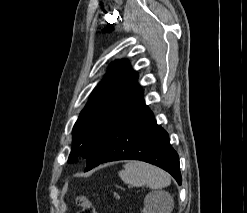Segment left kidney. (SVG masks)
<instances>
[{
	"instance_id": "1",
	"label": "left kidney",
	"mask_w": 247,
	"mask_h": 213,
	"mask_svg": "<svg viewBox=\"0 0 247 213\" xmlns=\"http://www.w3.org/2000/svg\"><path fill=\"white\" fill-rule=\"evenodd\" d=\"M141 213H156V211L154 210L153 208V201L151 199V196L147 197L146 200H145V206L142 210Z\"/></svg>"
}]
</instances>
